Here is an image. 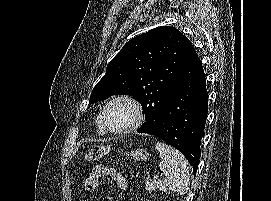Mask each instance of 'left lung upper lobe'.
Segmentation results:
<instances>
[{"mask_svg": "<svg viewBox=\"0 0 271 201\" xmlns=\"http://www.w3.org/2000/svg\"><path fill=\"white\" fill-rule=\"evenodd\" d=\"M186 37L174 27L154 28L128 41L94 87L90 104L113 95L133 96L142 106L143 128L156 129L176 84Z\"/></svg>", "mask_w": 271, "mask_h": 201, "instance_id": "left-lung-upper-lobe-1", "label": "left lung upper lobe"}]
</instances>
